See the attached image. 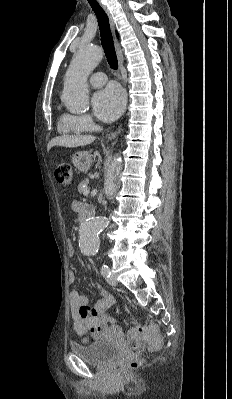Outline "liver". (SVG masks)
<instances>
[{
	"mask_svg": "<svg viewBox=\"0 0 232 399\" xmlns=\"http://www.w3.org/2000/svg\"><path fill=\"white\" fill-rule=\"evenodd\" d=\"M94 136H58L53 138L47 146V150H51L53 146H64V148H78V146H88L94 142Z\"/></svg>",
	"mask_w": 232,
	"mask_h": 399,
	"instance_id": "6515ba94",
	"label": "liver"
}]
</instances>
